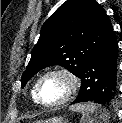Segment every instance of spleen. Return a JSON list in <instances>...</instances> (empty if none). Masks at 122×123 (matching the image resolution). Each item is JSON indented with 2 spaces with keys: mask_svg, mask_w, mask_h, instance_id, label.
Masks as SVG:
<instances>
[{
  "mask_svg": "<svg viewBox=\"0 0 122 123\" xmlns=\"http://www.w3.org/2000/svg\"><path fill=\"white\" fill-rule=\"evenodd\" d=\"M72 110L82 114L83 123H109L108 112L97 104H77L72 107Z\"/></svg>",
  "mask_w": 122,
  "mask_h": 123,
  "instance_id": "spleen-1",
  "label": "spleen"
}]
</instances>
